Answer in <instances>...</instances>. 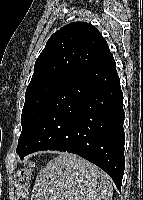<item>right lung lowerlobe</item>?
<instances>
[{
	"label": "right lung lower lobe",
	"instance_id": "1",
	"mask_svg": "<svg viewBox=\"0 0 143 200\" xmlns=\"http://www.w3.org/2000/svg\"><path fill=\"white\" fill-rule=\"evenodd\" d=\"M123 94L112 54L71 74L31 122L21 159L40 150L75 153L111 176L118 190L125 169Z\"/></svg>",
	"mask_w": 143,
	"mask_h": 200
}]
</instances>
